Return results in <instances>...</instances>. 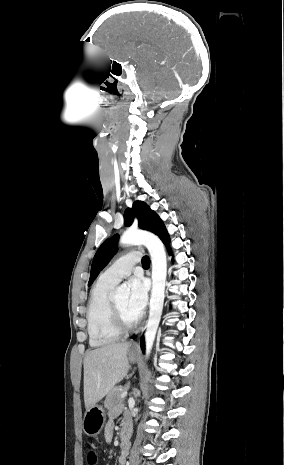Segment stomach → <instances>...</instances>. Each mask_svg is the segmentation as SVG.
I'll list each match as a JSON object with an SVG mask.
<instances>
[{
  "instance_id": "1",
  "label": "stomach",
  "mask_w": 284,
  "mask_h": 465,
  "mask_svg": "<svg viewBox=\"0 0 284 465\" xmlns=\"http://www.w3.org/2000/svg\"><path fill=\"white\" fill-rule=\"evenodd\" d=\"M138 357L139 355L135 353V351H130L128 355V359L131 363H135ZM105 421L106 415L104 409L95 405V407L87 409L86 413H84L82 429L88 437H96V435H99L100 431H102Z\"/></svg>"
}]
</instances>
